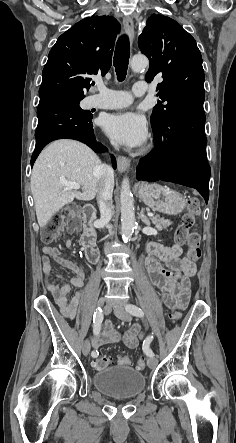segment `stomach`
Wrapping results in <instances>:
<instances>
[{
    "mask_svg": "<svg viewBox=\"0 0 236 443\" xmlns=\"http://www.w3.org/2000/svg\"><path fill=\"white\" fill-rule=\"evenodd\" d=\"M137 194L147 206L167 215H177L186 206V201L179 192L157 183L141 184Z\"/></svg>",
    "mask_w": 236,
    "mask_h": 443,
    "instance_id": "stomach-1",
    "label": "stomach"
}]
</instances>
